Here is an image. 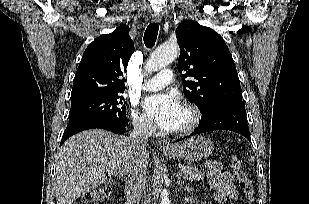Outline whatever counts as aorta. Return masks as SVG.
I'll use <instances>...</instances> for the list:
<instances>
[{
	"mask_svg": "<svg viewBox=\"0 0 309 204\" xmlns=\"http://www.w3.org/2000/svg\"><path fill=\"white\" fill-rule=\"evenodd\" d=\"M178 52L179 47L177 43H165L161 45L147 59L145 70L148 73H152L166 67L176 59ZM160 197V204H170L169 193L167 190H162L160 192Z\"/></svg>",
	"mask_w": 309,
	"mask_h": 204,
	"instance_id": "obj_1",
	"label": "aorta"
}]
</instances>
